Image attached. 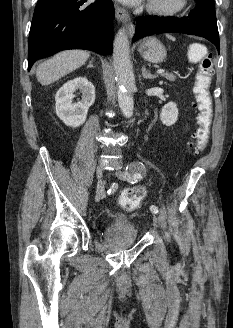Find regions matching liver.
<instances>
[{
	"instance_id": "obj_1",
	"label": "liver",
	"mask_w": 233,
	"mask_h": 328,
	"mask_svg": "<svg viewBox=\"0 0 233 328\" xmlns=\"http://www.w3.org/2000/svg\"><path fill=\"white\" fill-rule=\"evenodd\" d=\"M89 56V52L84 50L57 53L37 67L36 78L42 85H49L84 65Z\"/></svg>"
}]
</instances>
